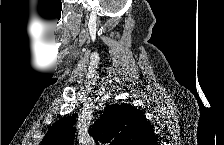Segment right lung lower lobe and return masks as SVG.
<instances>
[{
    "mask_svg": "<svg viewBox=\"0 0 224 145\" xmlns=\"http://www.w3.org/2000/svg\"><path fill=\"white\" fill-rule=\"evenodd\" d=\"M150 145H157L156 139H154L152 142H150Z\"/></svg>",
    "mask_w": 224,
    "mask_h": 145,
    "instance_id": "right-lung-lower-lobe-1",
    "label": "right lung lower lobe"
}]
</instances>
